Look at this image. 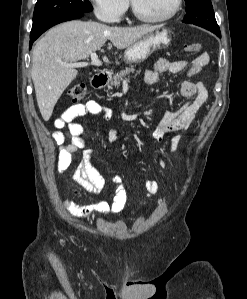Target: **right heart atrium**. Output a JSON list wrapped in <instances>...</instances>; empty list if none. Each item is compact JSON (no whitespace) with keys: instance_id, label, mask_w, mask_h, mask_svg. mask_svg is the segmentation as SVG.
<instances>
[{"instance_id":"obj_1","label":"right heart atrium","mask_w":247,"mask_h":299,"mask_svg":"<svg viewBox=\"0 0 247 299\" xmlns=\"http://www.w3.org/2000/svg\"><path fill=\"white\" fill-rule=\"evenodd\" d=\"M93 10L103 22L116 23L128 9V0H89Z\"/></svg>"}]
</instances>
